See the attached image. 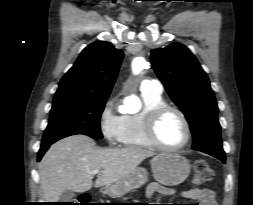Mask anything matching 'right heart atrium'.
<instances>
[{
    "label": "right heart atrium",
    "mask_w": 253,
    "mask_h": 205,
    "mask_svg": "<svg viewBox=\"0 0 253 205\" xmlns=\"http://www.w3.org/2000/svg\"><path fill=\"white\" fill-rule=\"evenodd\" d=\"M99 129L104 139L110 145L120 141L122 132V116L117 113L116 101L108 100L99 115Z\"/></svg>",
    "instance_id": "obj_1"
}]
</instances>
